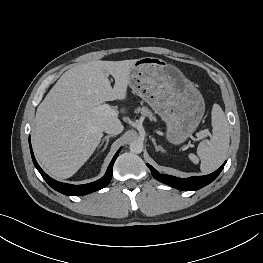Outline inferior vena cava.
<instances>
[{"instance_id":"obj_1","label":"inferior vena cava","mask_w":263,"mask_h":263,"mask_svg":"<svg viewBox=\"0 0 263 263\" xmlns=\"http://www.w3.org/2000/svg\"><path fill=\"white\" fill-rule=\"evenodd\" d=\"M123 125L121 124L120 121H116V122H112L107 124L104 127V131L107 134H111V135H118L119 133H121L123 131Z\"/></svg>"}]
</instances>
